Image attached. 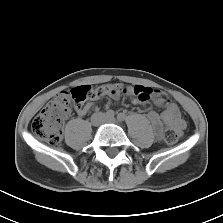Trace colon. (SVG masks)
Instances as JSON below:
<instances>
[{
    "label": "colon",
    "mask_w": 223,
    "mask_h": 223,
    "mask_svg": "<svg viewBox=\"0 0 223 223\" xmlns=\"http://www.w3.org/2000/svg\"><path fill=\"white\" fill-rule=\"evenodd\" d=\"M124 92H131L141 102H147L153 94H156L151 88L140 85L129 88L123 84H110L96 89L87 85L78 86L54 97L33 119L31 130L34 135L44 139L52 147H59L62 141V125L72 106L80 110L87 101ZM164 140L168 144L176 143L177 132L173 129L166 130Z\"/></svg>",
    "instance_id": "5ec220e1"
}]
</instances>
